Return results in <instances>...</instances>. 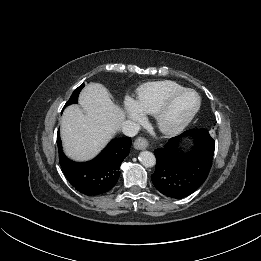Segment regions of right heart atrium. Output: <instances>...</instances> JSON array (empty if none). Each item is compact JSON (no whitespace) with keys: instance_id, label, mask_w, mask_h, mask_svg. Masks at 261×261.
Masks as SVG:
<instances>
[{"instance_id":"d8ad5b80","label":"right heart atrium","mask_w":261,"mask_h":261,"mask_svg":"<svg viewBox=\"0 0 261 261\" xmlns=\"http://www.w3.org/2000/svg\"><path fill=\"white\" fill-rule=\"evenodd\" d=\"M125 110L127 115L136 122L144 120L143 113L138 109L134 100L127 98L125 101Z\"/></svg>"}]
</instances>
